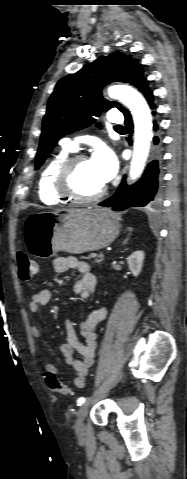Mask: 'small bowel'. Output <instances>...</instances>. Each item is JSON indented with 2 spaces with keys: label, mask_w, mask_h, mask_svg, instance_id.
<instances>
[{
  "label": "small bowel",
  "mask_w": 187,
  "mask_h": 479,
  "mask_svg": "<svg viewBox=\"0 0 187 479\" xmlns=\"http://www.w3.org/2000/svg\"><path fill=\"white\" fill-rule=\"evenodd\" d=\"M54 269L58 273H64L70 269L78 271L80 277L75 284L74 290L78 297L88 299L92 296L96 288V277L91 272L90 265L75 257H58L53 262ZM52 298V292L49 289H42L34 293L28 303V309L36 314L40 308L47 305ZM107 310L105 307H99L93 310L80 325V334L84 339L81 342L74 323L68 319L65 322L66 341L59 345L65 363L74 372V384L78 388H84L86 378L92 367L97 351V329L106 318ZM31 335L38 339L41 337V329L38 325L31 327ZM75 354H79L81 359H76ZM42 376L47 373L56 375L57 369L54 364L46 362L42 369Z\"/></svg>",
  "instance_id": "small-bowel-1"
}]
</instances>
